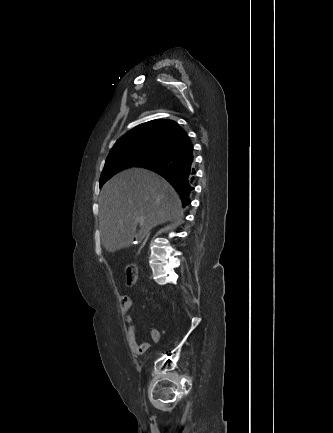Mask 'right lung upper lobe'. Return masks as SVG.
Returning <instances> with one entry per match:
<instances>
[{"label":"right lung upper lobe","instance_id":"cb5924a9","mask_svg":"<svg viewBox=\"0 0 333 433\" xmlns=\"http://www.w3.org/2000/svg\"><path fill=\"white\" fill-rule=\"evenodd\" d=\"M190 142L185 130L173 120L156 119L140 124L123 135L113 146L162 148L173 153Z\"/></svg>","mask_w":333,"mask_h":433}]
</instances>
